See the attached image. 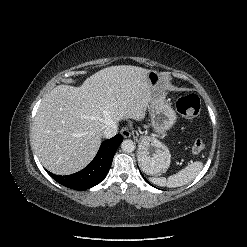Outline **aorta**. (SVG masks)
I'll use <instances>...</instances> for the list:
<instances>
[{
    "instance_id": "obj_1",
    "label": "aorta",
    "mask_w": 247,
    "mask_h": 247,
    "mask_svg": "<svg viewBox=\"0 0 247 247\" xmlns=\"http://www.w3.org/2000/svg\"><path fill=\"white\" fill-rule=\"evenodd\" d=\"M121 149L125 152V153H131L135 150V143L132 140H124L121 143Z\"/></svg>"
}]
</instances>
